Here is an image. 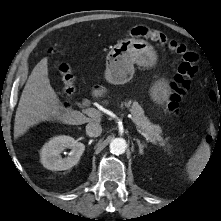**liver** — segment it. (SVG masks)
<instances>
[{"label": "liver", "instance_id": "6515ba94", "mask_svg": "<svg viewBox=\"0 0 221 221\" xmlns=\"http://www.w3.org/2000/svg\"><path fill=\"white\" fill-rule=\"evenodd\" d=\"M47 57L32 70L23 89L15 115L14 137L23 135L30 127L44 121H59L69 125L99 122L77 110L64 108L48 78Z\"/></svg>", "mask_w": 221, "mask_h": 221}]
</instances>
